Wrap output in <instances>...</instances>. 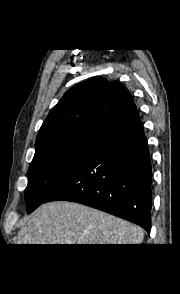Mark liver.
<instances>
[{
  "label": "liver",
  "mask_w": 180,
  "mask_h": 294,
  "mask_svg": "<svg viewBox=\"0 0 180 294\" xmlns=\"http://www.w3.org/2000/svg\"><path fill=\"white\" fill-rule=\"evenodd\" d=\"M144 231L105 212L67 201L42 205L26 221L19 244H140Z\"/></svg>",
  "instance_id": "1"
}]
</instances>
